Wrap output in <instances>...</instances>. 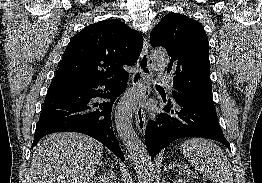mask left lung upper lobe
I'll use <instances>...</instances> for the list:
<instances>
[{"label": "left lung upper lobe", "instance_id": "left-lung-upper-lobe-1", "mask_svg": "<svg viewBox=\"0 0 262 183\" xmlns=\"http://www.w3.org/2000/svg\"><path fill=\"white\" fill-rule=\"evenodd\" d=\"M150 42L153 47L163 46L169 52L167 72L175 75L173 99L213 101L208 37L198 21L169 13L151 31Z\"/></svg>", "mask_w": 262, "mask_h": 183}]
</instances>
